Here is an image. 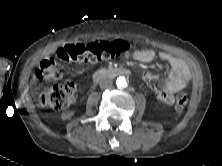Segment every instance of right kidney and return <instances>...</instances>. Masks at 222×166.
<instances>
[{
    "label": "right kidney",
    "instance_id": "ca27d5eb",
    "mask_svg": "<svg viewBox=\"0 0 222 166\" xmlns=\"http://www.w3.org/2000/svg\"><path fill=\"white\" fill-rule=\"evenodd\" d=\"M73 115H74V112L63 113V114H62V117H63V118H70V117H72Z\"/></svg>",
    "mask_w": 222,
    "mask_h": 166
}]
</instances>
